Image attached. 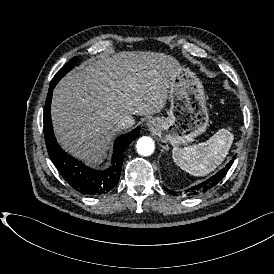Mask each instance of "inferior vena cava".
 <instances>
[{
	"mask_svg": "<svg viewBox=\"0 0 274 274\" xmlns=\"http://www.w3.org/2000/svg\"><path fill=\"white\" fill-rule=\"evenodd\" d=\"M134 124H135V120L133 116L124 115V116H121L119 119H117L115 129L116 131L127 129L132 127Z\"/></svg>",
	"mask_w": 274,
	"mask_h": 274,
	"instance_id": "inferior-vena-cava-1",
	"label": "inferior vena cava"
}]
</instances>
